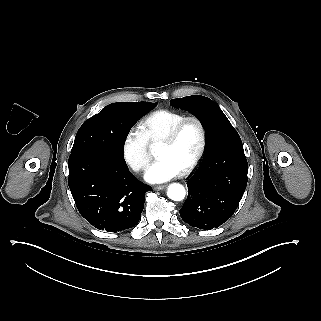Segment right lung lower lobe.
Masks as SVG:
<instances>
[{
	"label": "right lung lower lobe",
	"instance_id": "obj_1",
	"mask_svg": "<svg viewBox=\"0 0 321 321\" xmlns=\"http://www.w3.org/2000/svg\"><path fill=\"white\" fill-rule=\"evenodd\" d=\"M138 111L118 113V125L127 135L139 120ZM68 185L80 214L99 230L120 232L141 218L145 193L152 188L129 172L124 158L92 151L69 157Z\"/></svg>",
	"mask_w": 321,
	"mask_h": 321
}]
</instances>
